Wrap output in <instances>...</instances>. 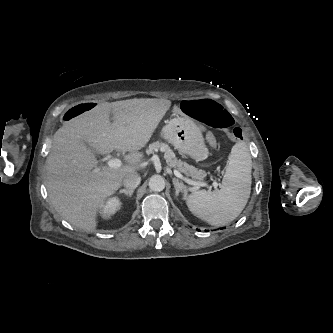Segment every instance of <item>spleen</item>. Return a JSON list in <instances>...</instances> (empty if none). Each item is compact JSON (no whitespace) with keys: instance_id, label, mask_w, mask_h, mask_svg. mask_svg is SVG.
<instances>
[{"instance_id":"3e777b00","label":"spleen","mask_w":333,"mask_h":333,"mask_svg":"<svg viewBox=\"0 0 333 333\" xmlns=\"http://www.w3.org/2000/svg\"><path fill=\"white\" fill-rule=\"evenodd\" d=\"M228 160L220 190H199L185 198L193 215L214 226L226 225L238 217L250 197L252 159L247 144L236 143Z\"/></svg>"}]
</instances>
